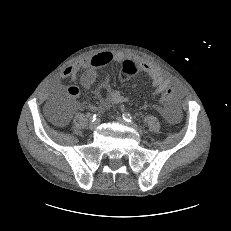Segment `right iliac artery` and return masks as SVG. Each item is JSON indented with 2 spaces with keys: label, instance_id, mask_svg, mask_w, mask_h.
I'll return each instance as SVG.
<instances>
[{
  "label": "right iliac artery",
  "instance_id": "right-iliac-artery-1",
  "mask_svg": "<svg viewBox=\"0 0 231 231\" xmlns=\"http://www.w3.org/2000/svg\"><path fill=\"white\" fill-rule=\"evenodd\" d=\"M97 118V115L96 114H93L91 117H90V121H95Z\"/></svg>",
  "mask_w": 231,
  "mask_h": 231
}]
</instances>
